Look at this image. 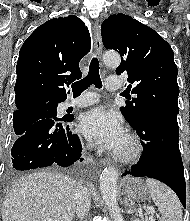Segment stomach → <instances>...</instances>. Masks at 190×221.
Masks as SVG:
<instances>
[{"label":"stomach","mask_w":190,"mask_h":221,"mask_svg":"<svg viewBox=\"0 0 190 221\" xmlns=\"http://www.w3.org/2000/svg\"><path fill=\"white\" fill-rule=\"evenodd\" d=\"M123 191L131 200L142 202L150 199L148 186L141 178L129 177L123 181Z\"/></svg>","instance_id":"obj_1"}]
</instances>
